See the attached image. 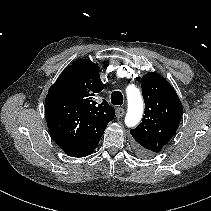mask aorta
<instances>
[{"instance_id": "aorta-1", "label": "aorta", "mask_w": 211, "mask_h": 211, "mask_svg": "<svg viewBox=\"0 0 211 211\" xmlns=\"http://www.w3.org/2000/svg\"><path fill=\"white\" fill-rule=\"evenodd\" d=\"M128 111L125 117V124L128 127L136 126L143 114V99L139 90L135 86H128L126 89Z\"/></svg>"}]
</instances>
